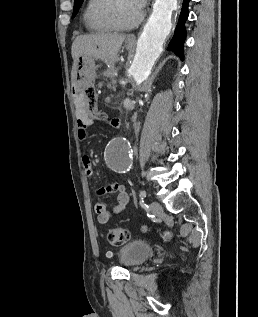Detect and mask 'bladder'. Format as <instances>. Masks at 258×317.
<instances>
[{
  "label": "bladder",
  "instance_id": "obj_1",
  "mask_svg": "<svg viewBox=\"0 0 258 317\" xmlns=\"http://www.w3.org/2000/svg\"><path fill=\"white\" fill-rule=\"evenodd\" d=\"M153 253L150 244L143 241H132L120 249L119 262L124 267H134L146 260Z\"/></svg>",
  "mask_w": 258,
  "mask_h": 317
}]
</instances>
